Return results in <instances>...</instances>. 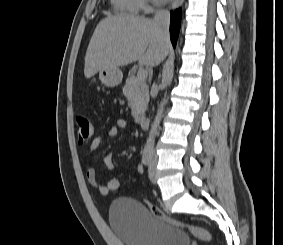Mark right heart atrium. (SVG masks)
I'll return each instance as SVG.
<instances>
[{"instance_id": "obj_1", "label": "right heart atrium", "mask_w": 283, "mask_h": 245, "mask_svg": "<svg viewBox=\"0 0 283 245\" xmlns=\"http://www.w3.org/2000/svg\"><path fill=\"white\" fill-rule=\"evenodd\" d=\"M140 1V7L145 12H150L154 8V4L152 0H139Z\"/></svg>"}]
</instances>
